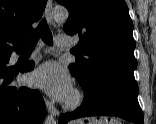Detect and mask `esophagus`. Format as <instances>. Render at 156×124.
<instances>
[{"instance_id": "esophagus-1", "label": "esophagus", "mask_w": 156, "mask_h": 124, "mask_svg": "<svg viewBox=\"0 0 156 124\" xmlns=\"http://www.w3.org/2000/svg\"><path fill=\"white\" fill-rule=\"evenodd\" d=\"M45 14H46V19H47L48 23L50 25H53L52 0H48L47 1ZM45 105H46V107H47V109H48V111L50 112L51 115H53L55 117L58 116L59 113H58L57 108L48 99H45Z\"/></svg>"}]
</instances>
